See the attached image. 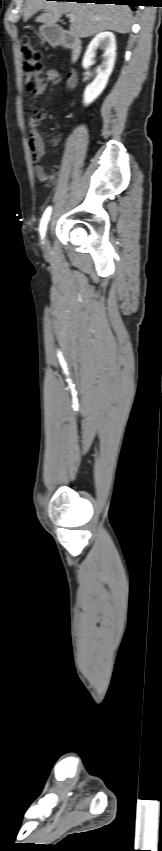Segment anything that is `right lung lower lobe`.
Returning <instances> with one entry per match:
<instances>
[{"label": "right lung lower lobe", "instance_id": "obj_1", "mask_svg": "<svg viewBox=\"0 0 162 851\" xmlns=\"http://www.w3.org/2000/svg\"><path fill=\"white\" fill-rule=\"evenodd\" d=\"M68 1V0H65ZM76 2H87V3H96V4H116V5H130L137 6L138 0H74Z\"/></svg>", "mask_w": 162, "mask_h": 851}]
</instances>
